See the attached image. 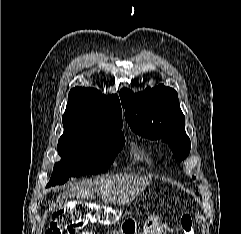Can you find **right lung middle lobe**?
<instances>
[{
    "label": "right lung middle lobe",
    "instance_id": "1",
    "mask_svg": "<svg viewBox=\"0 0 241 234\" xmlns=\"http://www.w3.org/2000/svg\"><path fill=\"white\" fill-rule=\"evenodd\" d=\"M62 122L64 134L57 146L61 161L54 165L48 187L63 184L69 177L105 172L125 143L120 129L83 128L65 118Z\"/></svg>",
    "mask_w": 241,
    "mask_h": 234
}]
</instances>
